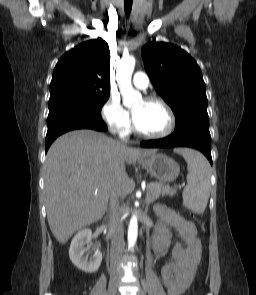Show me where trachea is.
Instances as JSON below:
<instances>
[{
    "mask_svg": "<svg viewBox=\"0 0 256 295\" xmlns=\"http://www.w3.org/2000/svg\"><path fill=\"white\" fill-rule=\"evenodd\" d=\"M132 9V0H124V10L126 15H129Z\"/></svg>",
    "mask_w": 256,
    "mask_h": 295,
    "instance_id": "obj_1",
    "label": "trachea"
}]
</instances>
